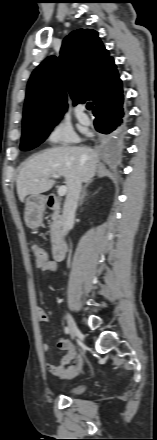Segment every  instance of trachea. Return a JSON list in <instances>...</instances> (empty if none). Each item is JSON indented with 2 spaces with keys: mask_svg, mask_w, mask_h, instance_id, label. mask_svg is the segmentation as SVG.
I'll list each match as a JSON object with an SVG mask.
<instances>
[{
  "mask_svg": "<svg viewBox=\"0 0 157 440\" xmlns=\"http://www.w3.org/2000/svg\"><path fill=\"white\" fill-rule=\"evenodd\" d=\"M92 107H93V104H92L91 102H89V103L87 104V109H88V110H91Z\"/></svg>",
  "mask_w": 157,
  "mask_h": 440,
  "instance_id": "1",
  "label": "trachea"
}]
</instances>
